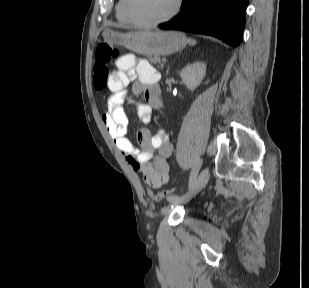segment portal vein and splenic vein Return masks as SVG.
Returning <instances> with one entry per match:
<instances>
[{
	"label": "portal vein and splenic vein",
	"instance_id": "1",
	"mask_svg": "<svg viewBox=\"0 0 309 288\" xmlns=\"http://www.w3.org/2000/svg\"><path fill=\"white\" fill-rule=\"evenodd\" d=\"M164 61H165V60H164ZM161 66L163 67V66H164V63H162Z\"/></svg>",
	"mask_w": 309,
	"mask_h": 288
}]
</instances>
